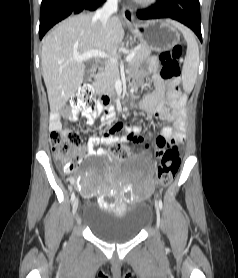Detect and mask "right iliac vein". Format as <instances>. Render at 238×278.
Returning a JSON list of instances; mask_svg holds the SVG:
<instances>
[{"label": "right iliac vein", "instance_id": "obj_1", "mask_svg": "<svg viewBox=\"0 0 238 278\" xmlns=\"http://www.w3.org/2000/svg\"><path fill=\"white\" fill-rule=\"evenodd\" d=\"M78 206H79V201H78V199H75L73 201V206H72L73 215L75 217H76V214H77Z\"/></svg>", "mask_w": 238, "mask_h": 278}]
</instances>
